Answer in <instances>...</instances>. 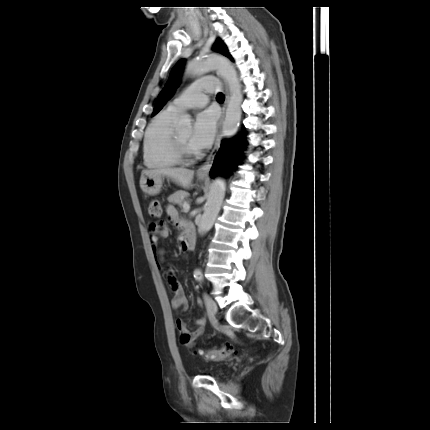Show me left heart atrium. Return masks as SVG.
Instances as JSON below:
<instances>
[{
	"label": "left heart atrium",
	"instance_id": "obj_1",
	"mask_svg": "<svg viewBox=\"0 0 430 430\" xmlns=\"http://www.w3.org/2000/svg\"><path fill=\"white\" fill-rule=\"evenodd\" d=\"M216 121L217 116L213 110H205L197 116L190 139V145L194 150H202L212 144Z\"/></svg>",
	"mask_w": 430,
	"mask_h": 430
}]
</instances>
